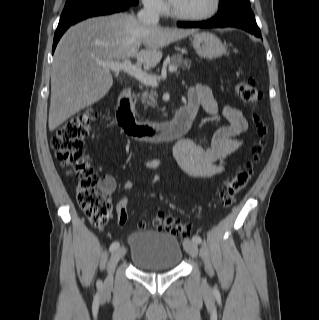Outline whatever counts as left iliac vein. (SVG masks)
I'll return each mask as SVG.
<instances>
[{"label": "left iliac vein", "mask_w": 319, "mask_h": 320, "mask_svg": "<svg viewBox=\"0 0 319 320\" xmlns=\"http://www.w3.org/2000/svg\"><path fill=\"white\" fill-rule=\"evenodd\" d=\"M184 248L192 257H194V258L197 257L198 246H197L196 242H194L193 240L187 239L184 242Z\"/></svg>", "instance_id": "left-iliac-vein-1"}]
</instances>
